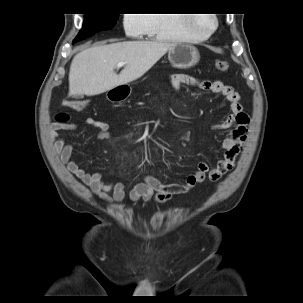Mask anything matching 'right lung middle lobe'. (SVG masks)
<instances>
[{
  "label": "right lung middle lobe",
  "mask_w": 303,
  "mask_h": 303,
  "mask_svg": "<svg viewBox=\"0 0 303 303\" xmlns=\"http://www.w3.org/2000/svg\"><path fill=\"white\" fill-rule=\"evenodd\" d=\"M118 17V13L85 14L83 27L75 38L74 43L86 37H89L95 34L96 32L113 28L116 24Z\"/></svg>",
  "instance_id": "obj_1"
}]
</instances>
